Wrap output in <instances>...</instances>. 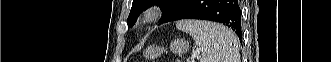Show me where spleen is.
<instances>
[{
	"label": "spleen",
	"instance_id": "spleen-1",
	"mask_svg": "<svg viewBox=\"0 0 331 62\" xmlns=\"http://www.w3.org/2000/svg\"><path fill=\"white\" fill-rule=\"evenodd\" d=\"M177 28L188 33L199 46L200 62H239L237 37L225 26L204 20H181Z\"/></svg>",
	"mask_w": 331,
	"mask_h": 62
}]
</instances>
